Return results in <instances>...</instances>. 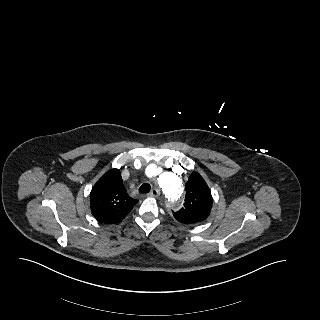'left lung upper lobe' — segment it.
Segmentation results:
<instances>
[{"label":"left lung upper lobe","mask_w":320,"mask_h":320,"mask_svg":"<svg viewBox=\"0 0 320 320\" xmlns=\"http://www.w3.org/2000/svg\"><path fill=\"white\" fill-rule=\"evenodd\" d=\"M212 196L203 178L193 172L186 183L184 206L173 212L176 220L184 224H196L205 220L211 211Z\"/></svg>","instance_id":"1"}]
</instances>
